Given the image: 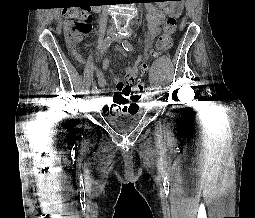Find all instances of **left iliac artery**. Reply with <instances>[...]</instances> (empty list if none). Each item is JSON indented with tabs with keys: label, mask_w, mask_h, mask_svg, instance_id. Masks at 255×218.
Masks as SVG:
<instances>
[{
	"label": "left iliac artery",
	"mask_w": 255,
	"mask_h": 218,
	"mask_svg": "<svg viewBox=\"0 0 255 218\" xmlns=\"http://www.w3.org/2000/svg\"><path fill=\"white\" fill-rule=\"evenodd\" d=\"M122 46L123 48L126 50V51H131L133 50V46L132 44L128 41V39H125L122 43ZM151 91H152V88L151 87H147L146 89V92L151 94Z\"/></svg>",
	"instance_id": "left-iliac-artery-1"
}]
</instances>
